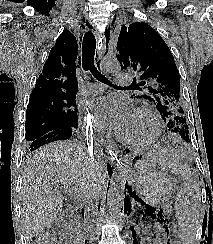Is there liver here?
<instances>
[{
	"label": "liver",
	"instance_id": "obj_1",
	"mask_svg": "<svg viewBox=\"0 0 213 244\" xmlns=\"http://www.w3.org/2000/svg\"><path fill=\"white\" fill-rule=\"evenodd\" d=\"M160 158H165L160 152ZM106 168L101 152L71 141L48 144L35 151L23 173L22 220L27 240L50 227L62 211L61 190L83 206L87 197L104 193Z\"/></svg>",
	"mask_w": 213,
	"mask_h": 244
}]
</instances>
